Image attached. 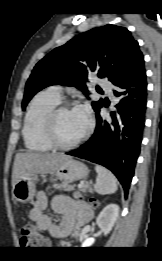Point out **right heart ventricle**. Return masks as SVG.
<instances>
[{
	"label": "right heart ventricle",
	"instance_id": "1",
	"mask_svg": "<svg viewBox=\"0 0 162 261\" xmlns=\"http://www.w3.org/2000/svg\"><path fill=\"white\" fill-rule=\"evenodd\" d=\"M60 102V97L45 90L31 100L23 123L22 135L27 149L35 152H47L52 146L44 133V119L47 113Z\"/></svg>",
	"mask_w": 162,
	"mask_h": 261
}]
</instances>
